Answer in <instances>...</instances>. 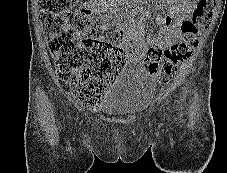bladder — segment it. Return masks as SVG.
I'll return each mask as SVG.
<instances>
[{
  "label": "bladder",
  "mask_w": 227,
  "mask_h": 173,
  "mask_svg": "<svg viewBox=\"0 0 227 173\" xmlns=\"http://www.w3.org/2000/svg\"><path fill=\"white\" fill-rule=\"evenodd\" d=\"M153 88L149 72L140 63L131 62L109 88L99 110L107 114L135 113L151 98Z\"/></svg>",
  "instance_id": "bladder-1"
}]
</instances>
